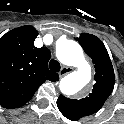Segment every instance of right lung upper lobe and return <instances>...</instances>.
Listing matches in <instances>:
<instances>
[{
  "mask_svg": "<svg viewBox=\"0 0 124 124\" xmlns=\"http://www.w3.org/2000/svg\"><path fill=\"white\" fill-rule=\"evenodd\" d=\"M37 35V30L27 25L0 39V105L5 108L24 105L46 80H59L47 67L50 51L34 46Z\"/></svg>",
  "mask_w": 124,
  "mask_h": 124,
  "instance_id": "1",
  "label": "right lung upper lobe"
}]
</instances>
